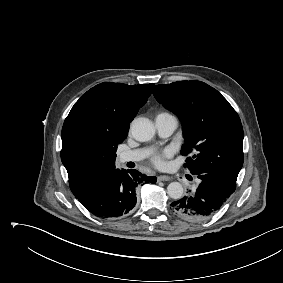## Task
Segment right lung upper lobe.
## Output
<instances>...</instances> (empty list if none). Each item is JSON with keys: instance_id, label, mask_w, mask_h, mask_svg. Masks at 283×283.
Returning a JSON list of instances; mask_svg holds the SVG:
<instances>
[{"instance_id": "right-lung-upper-lobe-1", "label": "right lung upper lobe", "mask_w": 283, "mask_h": 283, "mask_svg": "<svg viewBox=\"0 0 283 283\" xmlns=\"http://www.w3.org/2000/svg\"><path fill=\"white\" fill-rule=\"evenodd\" d=\"M153 86L101 83L74 104L62 128L61 160L76 198L117 170V145L127 137Z\"/></svg>"}]
</instances>
